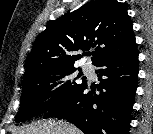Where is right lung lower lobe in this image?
<instances>
[{"instance_id":"obj_1","label":"right lung lower lobe","mask_w":153,"mask_h":134,"mask_svg":"<svg viewBox=\"0 0 153 134\" xmlns=\"http://www.w3.org/2000/svg\"><path fill=\"white\" fill-rule=\"evenodd\" d=\"M138 63L136 43L106 56L95 65L100 67L96 71L99 93L87 92L86 85L72 98L46 112L44 118L66 119L85 134H129Z\"/></svg>"}]
</instances>
